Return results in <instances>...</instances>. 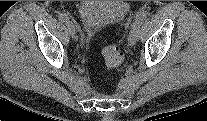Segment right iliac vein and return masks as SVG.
<instances>
[{"instance_id":"obj_1","label":"right iliac vein","mask_w":207,"mask_h":121,"mask_svg":"<svg viewBox=\"0 0 207 121\" xmlns=\"http://www.w3.org/2000/svg\"><path fill=\"white\" fill-rule=\"evenodd\" d=\"M67 24V27H68V31H69V34L71 35L72 38L76 39V28H75V25L72 21L68 20L66 22Z\"/></svg>"}]
</instances>
